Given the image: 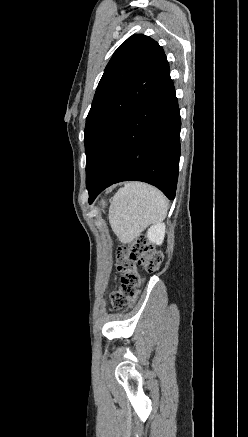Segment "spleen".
<instances>
[{
	"instance_id": "obj_1",
	"label": "spleen",
	"mask_w": 248,
	"mask_h": 437,
	"mask_svg": "<svg viewBox=\"0 0 248 437\" xmlns=\"http://www.w3.org/2000/svg\"><path fill=\"white\" fill-rule=\"evenodd\" d=\"M168 210L164 194L142 182H128L114 196L109 210L112 230L129 243L152 223L162 221Z\"/></svg>"
}]
</instances>
